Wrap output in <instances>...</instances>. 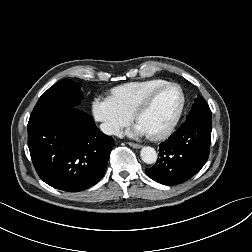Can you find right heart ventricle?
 Instances as JSON below:
<instances>
[{
  "instance_id": "right-heart-ventricle-1",
  "label": "right heart ventricle",
  "mask_w": 252,
  "mask_h": 252,
  "mask_svg": "<svg viewBox=\"0 0 252 252\" xmlns=\"http://www.w3.org/2000/svg\"><path fill=\"white\" fill-rule=\"evenodd\" d=\"M166 82L168 81L160 78L129 82L113 88L111 97L122 108L133 114L137 105L152 89Z\"/></svg>"
}]
</instances>
